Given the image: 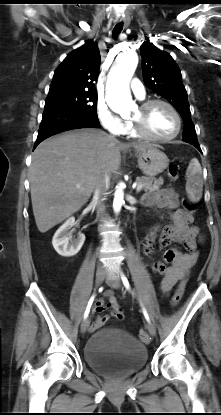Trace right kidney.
<instances>
[{"label":"right kidney","instance_id":"ca27d5eb","mask_svg":"<svg viewBox=\"0 0 221 415\" xmlns=\"http://www.w3.org/2000/svg\"><path fill=\"white\" fill-rule=\"evenodd\" d=\"M74 224L75 218L70 217L62 226H60L53 236V247L61 256L70 257L76 255L84 244L85 235L82 233H79L76 239L71 240L69 231Z\"/></svg>","mask_w":221,"mask_h":415}]
</instances>
